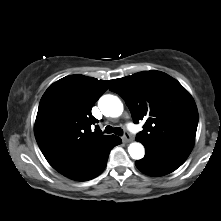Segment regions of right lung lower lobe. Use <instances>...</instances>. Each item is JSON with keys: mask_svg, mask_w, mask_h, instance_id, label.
<instances>
[{"mask_svg": "<svg viewBox=\"0 0 221 221\" xmlns=\"http://www.w3.org/2000/svg\"><path fill=\"white\" fill-rule=\"evenodd\" d=\"M120 143L121 139L117 136H113L109 141L84 159L58 167L55 170L76 181L91 180L104 170L111 149Z\"/></svg>", "mask_w": 221, "mask_h": 221, "instance_id": "right-lung-lower-lobe-1", "label": "right lung lower lobe"}]
</instances>
